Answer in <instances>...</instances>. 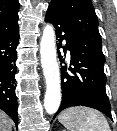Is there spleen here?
<instances>
[{
    "label": "spleen",
    "instance_id": "3e777b00",
    "mask_svg": "<svg viewBox=\"0 0 117 131\" xmlns=\"http://www.w3.org/2000/svg\"><path fill=\"white\" fill-rule=\"evenodd\" d=\"M68 131H111L104 115L92 108L72 107L58 117Z\"/></svg>",
    "mask_w": 117,
    "mask_h": 131
}]
</instances>
